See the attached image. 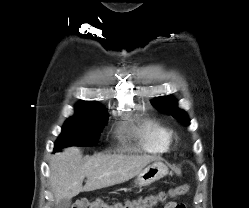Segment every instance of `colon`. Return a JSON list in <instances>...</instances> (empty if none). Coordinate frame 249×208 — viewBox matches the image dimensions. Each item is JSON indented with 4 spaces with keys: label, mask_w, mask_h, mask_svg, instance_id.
I'll list each match as a JSON object with an SVG mask.
<instances>
[{
    "label": "colon",
    "mask_w": 249,
    "mask_h": 208,
    "mask_svg": "<svg viewBox=\"0 0 249 208\" xmlns=\"http://www.w3.org/2000/svg\"><path fill=\"white\" fill-rule=\"evenodd\" d=\"M189 188L187 185H181L171 189L168 193L151 194L139 197L137 199H130L124 202H105L101 199L78 200L72 208H153L160 203H164L168 198H177L185 195ZM179 208H185L180 204Z\"/></svg>",
    "instance_id": "5ec220e1"
}]
</instances>
